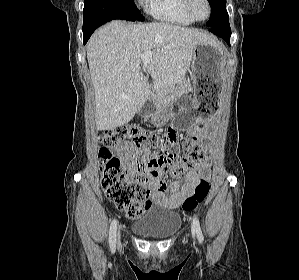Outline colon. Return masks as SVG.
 I'll use <instances>...</instances> for the list:
<instances>
[{
    "instance_id": "colon-1",
    "label": "colon",
    "mask_w": 299,
    "mask_h": 280,
    "mask_svg": "<svg viewBox=\"0 0 299 280\" xmlns=\"http://www.w3.org/2000/svg\"><path fill=\"white\" fill-rule=\"evenodd\" d=\"M157 134L147 132L138 125L119 126L105 131L100 137L99 164L101 186L107 198L130 219L142 217L148 209V192L142 185L140 175L132 172L129 161L121 160L115 150L123 144H132L139 152L136 169L141 174L149 166H158L176 178L192 170L202 158V149L195 135H187L183 140V155H179L180 134L169 128L166 144L151 155L148 153L150 141L159 142ZM209 193L207 180H200L189 197L182 204L184 211L195 209Z\"/></svg>"
}]
</instances>
